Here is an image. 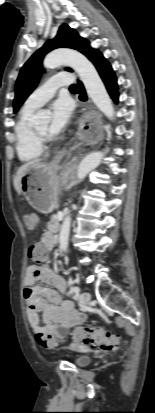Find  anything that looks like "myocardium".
Wrapping results in <instances>:
<instances>
[{
	"mask_svg": "<svg viewBox=\"0 0 155 413\" xmlns=\"http://www.w3.org/2000/svg\"><path fill=\"white\" fill-rule=\"evenodd\" d=\"M33 132L36 136V138L42 143L46 140V134L40 133L35 127H33Z\"/></svg>",
	"mask_w": 155,
	"mask_h": 413,
	"instance_id": "f54148a6",
	"label": "myocardium"
}]
</instances>
